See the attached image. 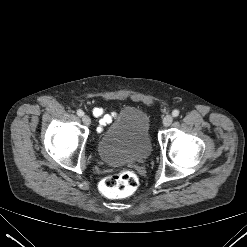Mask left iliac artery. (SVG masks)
I'll list each match as a JSON object with an SVG mask.
<instances>
[{
    "label": "left iliac artery",
    "mask_w": 247,
    "mask_h": 247,
    "mask_svg": "<svg viewBox=\"0 0 247 247\" xmlns=\"http://www.w3.org/2000/svg\"><path fill=\"white\" fill-rule=\"evenodd\" d=\"M172 115H173V117H177L179 115V111L178 110H174L172 112Z\"/></svg>",
    "instance_id": "left-iliac-artery-1"
}]
</instances>
